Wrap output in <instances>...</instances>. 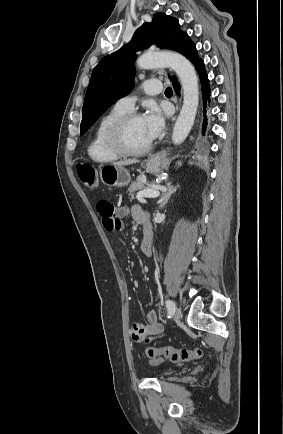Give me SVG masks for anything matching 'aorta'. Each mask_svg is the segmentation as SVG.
Returning <instances> with one entry per match:
<instances>
[{"mask_svg":"<svg viewBox=\"0 0 283 434\" xmlns=\"http://www.w3.org/2000/svg\"><path fill=\"white\" fill-rule=\"evenodd\" d=\"M137 66L141 69L170 67L178 75L183 89V105L173 129L172 141L175 145L181 144L194 124L199 103L198 78L194 67L176 53L144 54L138 58Z\"/></svg>","mask_w":283,"mask_h":434,"instance_id":"1","label":"aorta"}]
</instances>
